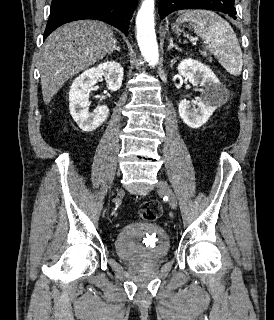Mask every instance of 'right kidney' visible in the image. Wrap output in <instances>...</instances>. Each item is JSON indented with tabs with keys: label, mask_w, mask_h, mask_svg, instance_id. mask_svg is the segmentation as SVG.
Returning a JSON list of instances; mask_svg holds the SVG:
<instances>
[{
	"label": "right kidney",
	"mask_w": 274,
	"mask_h": 320,
	"mask_svg": "<svg viewBox=\"0 0 274 320\" xmlns=\"http://www.w3.org/2000/svg\"><path fill=\"white\" fill-rule=\"evenodd\" d=\"M123 68L118 62H103L96 68H89L73 80L69 92L70 114L83 132H94L102 126L109 116L108 106H97L94 112H88V92L100 78H105L108 90L117 92L122 86Z\"/></svg>",
	"instance_id": "right-kidney-1"
}]
</instances>
